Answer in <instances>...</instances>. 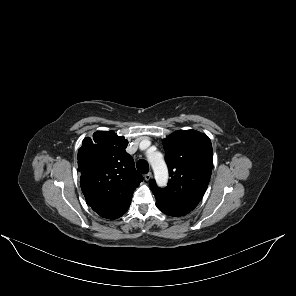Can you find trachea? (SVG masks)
I'll use <instances>...</instances> for the list:
<instances>
[{"label": "trachea", "mask_w": 296, "mask_h": 296, "mask_svg": "<svg viewBox=\"0 0 296 296\" xmlns=\"http://www.w3.org/2000/svg\"><path fill=\"white\" fill-rule=\"evenodd\" d=\"M136 166H137L138 171L142 174H147L149 171V165H148L147 161H145L143 159L138 160Z\"/></svg>", "instance_id": "1"}]
</instances>
